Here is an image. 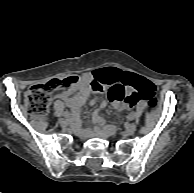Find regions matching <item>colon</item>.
I'll list each match as a JSON object with an SVG mask.
<instances>
[{"mask_svg":"<svg viewBox=\"0 0 194 193\" xmlns=\"http://www.w3.org/2000/svg\"><path fill=\"white\" fill-rule=\"evenodd\" d=\"M143 84L140 78L133 74L124 73L120 79H112L99 86H94V92H99L107 87V94L111 102L129 104L130 96L127 95L125 87L129 85ZM78 84L76 76H67L58 79H52L45 83H37L32 85L25 94V106L27 110L34 116L42 118L48 111L53 94L57 92L71 93ZM132 95V94H131ZM149 98L148 105L155 107L158 100L151 97V93L147 94Z\"/></svg>","mask_w":194,"mask_h":193,"instance_id":"obj_1","label":"colon"}]
</instances>
